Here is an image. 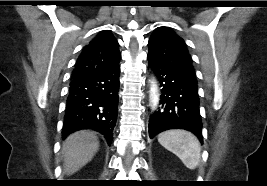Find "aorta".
Wrapping results in <instances>:
<instances>
[{
	"label": "aorta",
	"instance_id": "aorta-1",
	"mask_svg": "<svg viewBox=\"0 0 267 186\" xmlns=\"http://www.w3.org/2000/svg\"><path fill=\"white\" fill-rule=\"evenodd\" d=\"M150 100H151V106L152 108H155L158 104L159 97L157 95V88L154 82H151V88H150Z\"/></svg>",
	"mask_w": 267,
	"mask_h": 186
}]
</instances>
